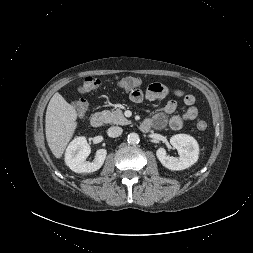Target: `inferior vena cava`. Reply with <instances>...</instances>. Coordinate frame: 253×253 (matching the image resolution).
I'll list each match as a JSON object with an SVG mask.
<instances>
[{"label": "inferior vena cava", "mask_w": 253, "mask_h": 253, "mask_svg": "<svg viewBox=\"0 0 253 253\" xmlns=\"http://www.w3.org/2000/svg\"><path fill=\"white\" fill-rule=\"evenodd\" d=\"M122 132H123V129L121 127H118V126L110 127L107 130V134H108L109 137H118L122 134Z\"/></svg>", "instance_id": "1"}]
</instances>
